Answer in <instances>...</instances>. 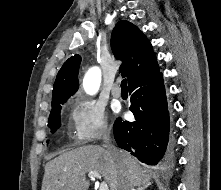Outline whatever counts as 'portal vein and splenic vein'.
<instances>
[{
  "label": "portal vein and splenic vein",
  "mask_w": 221,
  "mask_h": 190,
  "mask_svg": "<svg viewBox=\"0 0 221 190\" xmlns=\"http://www.w3.org/2000/svg\"><path fill=\"white\" fill-rule=\"evenodd\" d=\"M88 177H90L91 179L94 178H101L100 173L96 172V171H91L88 173ZM99 190H109L108 189V184L106 182H101Z\"/></svg>",
  "instance_id": "obj_1"
}]
</instances>
